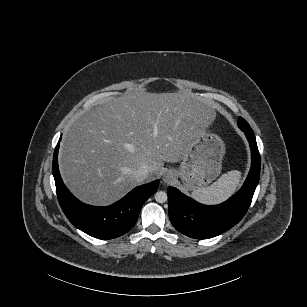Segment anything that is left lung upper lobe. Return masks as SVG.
I'll return each mask as SVG.
<instances>
[{"label":"left lung upper lobe","instance_id":"5c2ea615","mask_svg":"<svg viewBox=\"0 0 307 307\" xmlns=\"http://www.w3.org/2000/svg\"><path fill=\"white\" fill-rule=\"evenodd\" d=\"M238 126H242V127H245V128H248L250 129L251 127L249 126V124L246 122L245 119H243L242 117L239 118L238 120Z\"/></svg>","mask_w":307,"mask_h":307}]
</instances>
